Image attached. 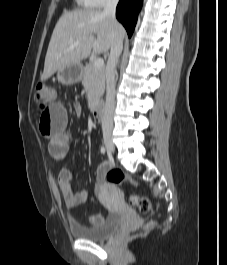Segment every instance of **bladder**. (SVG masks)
Masks as SVG:
<instances>
[{
  "instance_id": "bladder-1",
  "label": "bladder",
  "mask_w": 227,
  "mask_h": 265,
  "mask_svg": "<svg viewBox=\"0 0 227 265\" xmlns=\"http://www.w3.org/2000/svg\"><path fill=\"white\" fill-rule=\"evenodd\" d=\"M113 189L117 190L115 186H113ZM120 224V215L110 213L98 226L87 227L77 222H70L69 230L76 239L98 242L111 236L119 228Z\"/></svg>"
}]
</instances>
